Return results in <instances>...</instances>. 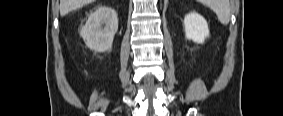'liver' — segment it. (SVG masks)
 <instances>
[{"mask_svg": "<svg viewBox=\"0 0 283 116\" xmlns=\"http://www.w3.org/2000/svg\"><path fill=\"white\" fill-rule=\"evenodd\" d=\"M91 2H93V0H60V5H59L60 15L63 17L66 14Z\"/></svg>", "mask_w": 283, "mask_h": 116, "instance_id": "6515ba94", "label": "liver"}]
</instances>
